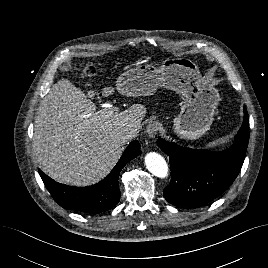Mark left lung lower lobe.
Returning <instances> with one entry per match:
<instances>
[{
  "label": "left lung lower lobe",
  "instance_id": "left-lung-lower-lobe-1",
  "mask_svg": "<svg viewBox=\"0 0 268 268\" xmlns=\"http://www.w3.org/2000/svg\"><path fill=\"white\" fill-rule=\"evenodd\" d=\"M249 141V118L244 107L242 127L234 143L224 151L196 150L158 139L157 145L169 156L171 182L165 199L177 206L199 207L221 195L241 170Z\"/></svg>",
  "mask_w": 268,
  "mask_h": 268
}]
</instances>
